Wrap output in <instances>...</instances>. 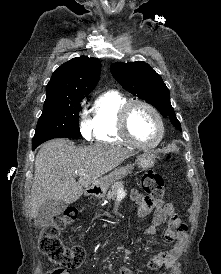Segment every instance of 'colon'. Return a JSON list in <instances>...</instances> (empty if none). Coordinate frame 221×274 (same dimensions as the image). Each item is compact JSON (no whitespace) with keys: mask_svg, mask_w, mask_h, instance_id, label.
<instances>
[{"mask_svg":"<svg viewBox=\"0 0 221 274\" xmlns=\"http://www.w3.org/2000/svg\"><path fill=\"white\" fill-rule=\"evenodd\" d=\"M142 188L149 199L161 200L164 195V180L155 172H147L142 177ZM77 214L75 208H69L62 215L51 218L41 226L39 248L59 266L50 274H70L71 270L80 267L86 259L82 247L65 246L60 239L61 231L75 221Z\"/></svg>","mask_w":221,"mask_h":274,"instance_id":"5ec220e1","label":"colon"}]
</instances>
